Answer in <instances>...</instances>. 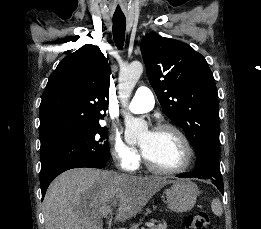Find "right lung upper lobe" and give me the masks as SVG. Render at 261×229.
<instances>
[{"label":"right lung upper lobe","instance_id":"obj_1","mask_svg":"<svg viewBox=\"0 0 261 229\" xmlns=\"http://www.w3.org/2000/svg\"><path fill=\"white\" fill-rule=\"evenodd\" d=\"M110 70L97 46L85 45L61 60L42 95L40 150L72 140L105 116Z\"/></svg>","mask_w":261,"mask_h":229}]
</instances>
